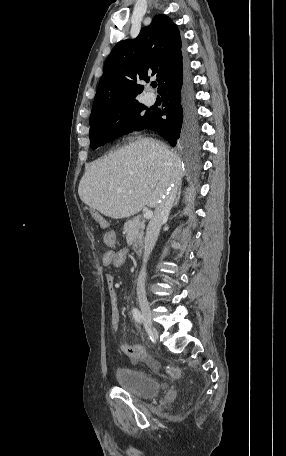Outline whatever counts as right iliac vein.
<instances>
[{
  "label": "right iliac vein",
  "mask_w": 286,
  "mask_h": 456,
  "mask_svg": "<svg viewBox=\"0 0 286 456\" xmlns=\"http://www.w3.org/2000/svg\"><path fill=\"white\" fill-rule=\"evenodd\" d=\"M138 302H139V306H140L142 315L144 317V320L146 321V323L149 326V328L151 329V331H153L154 328H153V323H152V314H151L150 305H149L147 298L145 296H139Z\"/></svg>",
  "instance_id": "63e3f726"
}]
</instances>
